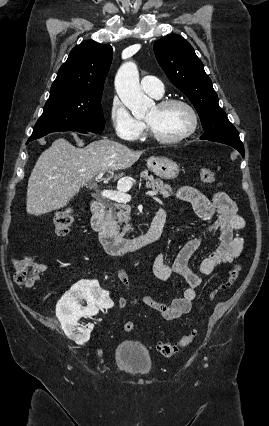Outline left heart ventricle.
I'll use <instances>...</instances> for the list:
<instances>
[{"mask_svg":"<svg viewBox=\"0 0 269 426\" xmlns=\"http://www.w3.org/2000/svg\"><path fill=\"white\" fill-rule=\"evenodd\" d=\"M154 130L162 137H176L186 132L192 118L189 111L181 105H172L161 109L155 105L145 117Z\"/></svg>","mask_w":269,"mask_h":426,"instance_id":"left-heart-ventricle-1","label":"left heart ventricle"}]
</instances>
